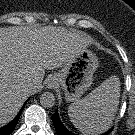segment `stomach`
<instances>
[{"label": "stomach", "mask_w": 135, "mask_h": 135, "mask_svg": "<svg viewBox=\"0 0 135 135\" xmlns=\"http://www.w3.org/2000/svg\"><path fill=\"white\" fill-rule=\"evenodd\" d=\"M99 66L98 58L90 49L80 50L62 69L54 74L57 85L64 91L68 102H77L93 82Z\"/></svg>", "instance_id": "1"}]
</instances>
